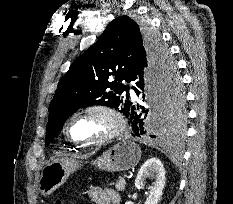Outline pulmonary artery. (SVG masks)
I'll list each match as a JSON object with an SVG mask.
<instances>
[{"instance_id":"pulmonary-artery-1","label":"pulmonary artery","mask_w":233,"mask_h":204,"mask_svg":"<svg viewBox=\"0 0 233 204\" xmlns=\"http://www.w3.org/2000/svg\"><path fill=\"white\" fill-rule=\"evenodd\" d=\"M131 94L134 95V93L130 90Z\"/></svg>"}]
</instances>
